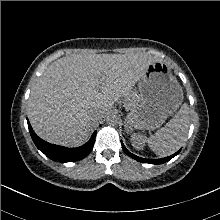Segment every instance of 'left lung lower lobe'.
<instances>
[{
    "mask_svg": "<svg viewBox=\"0 0 220 220\" xmlns=\"http://www.w3.org/2000/svg\"><path fill=\"white\" fill-rule=\"evenodd\" d=\"M122 147H123V150L124 152L130 156L131 158L139 161V162H142V163H150V164H162V163H165L167 161H169L170 159H172L173 157H175L177 154H179V151H177L175 154L171 155V156H168V157H165V158H161V159H144V158H140L132 153H130L126 148L125 146L123 145L122 143Z\"/></svg>",
    "mask_w": 220,
    "mask_h": 220,
    "instance_id": "0a47b994",
    "label": "left lung lower lobe"
}]
</instances>
